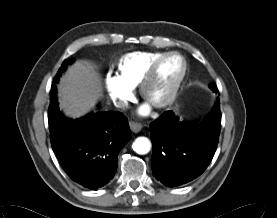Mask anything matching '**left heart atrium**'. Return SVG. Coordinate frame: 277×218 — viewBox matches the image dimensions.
I'll list each match as a JSON object with an SVG mask.
<instances>
[{"instance_id": "left-heart-atrium-1", "label": "left heart atrium", "mask_w": 277, "mask_h": 218, "mask_svg": "<svg viewBox=\"0 0 277 218\" xmlns=\"http://www.w3.org/2000/svg\"><path fill=\"white\" fill-rule=\"evenodd\" d=\"M148 111V106H145L144 108H142L141 112L142 113H146Z\"/></svg>"}]
</instances>
